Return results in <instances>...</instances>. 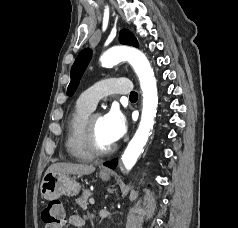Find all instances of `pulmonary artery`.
<instances>
[{"mask_svg": "<svg viewBox=\"0 0 238 228\" xmlns=\"http://www.w3.org/2000/svg\"><path fill=\"white\" fill-rule=\"evenodd\" d=\"M131 88L132 85L128 79L110 77L89 87L80 95L79 100L94 109L101 98L110 94H130Z\"/></svg>", "mask_w": 238, "mask_h": 228, "instance_id": "1", "label": "pulmonary artery"}]
</instances>
